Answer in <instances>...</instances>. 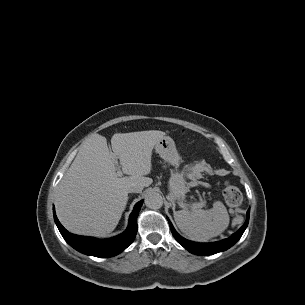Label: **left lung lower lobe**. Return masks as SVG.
<instances>
[{
  "mask_svg": "<svg viewBox=\"0 0 305 305\" xmlns=\"http://www.w3.org/2000/svg\"><path fill=\"white\" fill-rule=\"evenodd\" d=\"M249 221V210L247 211V219L244 225L231 237L227 239H223L221 241L212 242V243H197L193 241H189L183 237H181L174 229L172 223L168 219L172 234L174 238L178 241L180 245H182L189 252L196 255H212L218 252L225 251L232 247L242 236L244 233Z\"/></svg>",
  "mask_w": 305,
  "mask_h": 305,
  "instance_id": "obj_1",
  "label": "left lung lower lobe"
}]
</instances>
